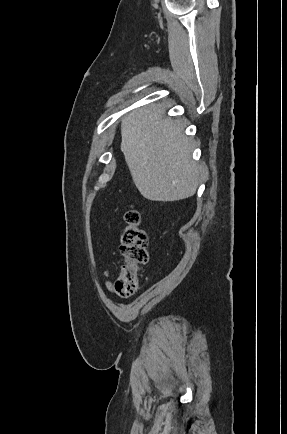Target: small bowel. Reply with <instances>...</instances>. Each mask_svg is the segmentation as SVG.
<instances>
[{
  "label": "small bowel",
  "mask_w": 287,
  "mask_h": 434,
  "mask_svg": "<svg viewBox=\"0 0 287 434\" xmlns=\"http://www.w3.org/2000/svg\"><path fill=\"white\" fill-rule=\"evenodd\" d=\"M104 278H105L104 285H105L106 289L108 291H112V283L110 281V272L109 271L104 272Z\"/></svg>",
  "instance_id": "c3829d8e"
}]
</instances>
